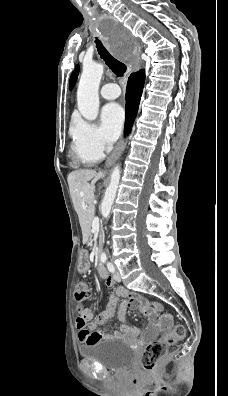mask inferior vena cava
Wrapping results in <instances>:
<instances>
[{"label":"inferior vena cava","mask_w":228,"mask_h":396,"mask_svg":"<svg viewBox=\"0 0 228 396\" xmlns=\"http://www.w3.org/2000/svg\"><path fill=\"white\" fill-rule=\"evenodd\" d=\"M112 148H113L112 143H109L107 147V152H110Z\"/></svg>","instance_id":"obj_1"}]
</instances>
